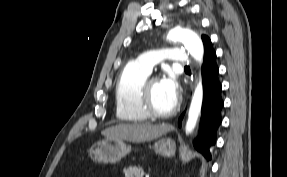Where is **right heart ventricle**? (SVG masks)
<instances>
[{
  "label": "right heart ventricle",
  "instance_id": "obj_1",
  "mask_svg": "<svg viewBox=\"0 0 287 177\" xmlns=\"http://www.w3.org/2000/svg\"><path fill=\"white\" fill-rule=\"evenodd\" d=\"M150 72L132 63L124 67L115 85V115L123 123H139L148 116L140 107V93Z\"/></svg>",
  "mask_w": 287,
  "mask_h": 177
}]
</instances>
